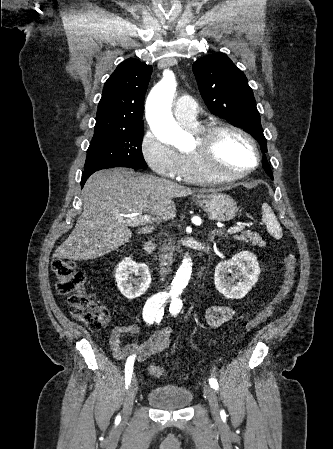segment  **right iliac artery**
Masks as SVG:
<instances>
[{"instance_id":"obj_1","label":"right iliac artery","mask_w":333,"mask_h":449,"mask_svg":"<svg viewBox=\"0 0 333 449\" xmlns=\"http://www.w3.org/2000/svg\"><path fill=\"white\" fill-rule=\"evenodd\" d=\"M167 299L166 295L163 294H156L149 298L143 308V318L144 320L152 324L154 321L159 323L162 320L164 309L160 308L165 300ZM135 356H131L127 359L125 364V384L126 388H128L132 373H133V365H134Z\"/></svg>"}]
</instances>
